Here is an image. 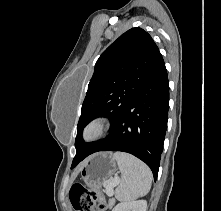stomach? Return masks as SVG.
I'll return each instance as SVG.
<instances>
[{
    "mask_svg": "<svg viewBox=\"0 0 221 211\" xmlns=\"http://www.w3.org/2000/svg\"><path fill=\"white\" fill-rule=\"evenodd\" d=\"M117 162L111 153H97L83 164L80 173L85 184L91 189H99L115 172Z\"/></svg>",
    "mask_w": 221,
    "mask_h": 211,
    "instance_id": "1",
    "label": "stomach"
}]
</instances>
